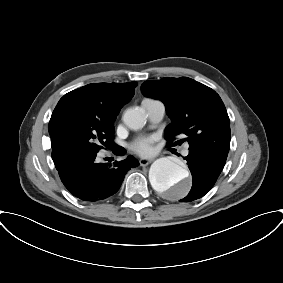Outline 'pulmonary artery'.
Here are the masks:
<instances>
[{"label":"pulmonary artery","instance_id":"e3ab8cb5","mask_svg":"<svg viewBox=\"0 0 283 283\" xmlns=\"http://www.w3.org/2000/svg\"><path fill=\"white\" fill-rule=\"evenodd\" d=\"M141 105L152 124H157L163 119L165 114V105L163 102L159 100L144 99ZM182 153L183 155H187L189 153V145L185 146Z\"/></svg>","mask_w":283,"mask_h":283}]
</instances>
